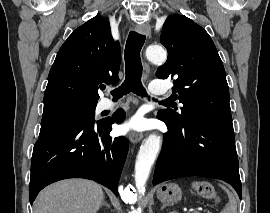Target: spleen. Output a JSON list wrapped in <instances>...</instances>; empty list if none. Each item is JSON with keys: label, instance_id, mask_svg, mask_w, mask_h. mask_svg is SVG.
Here are the masks:
<instances>
[{"label": "spleen", "instance_id": "spleen-1", "mask_svg": "<svg viewBox=\"0 0 270 213\" xmlns=\"http://www.w3.org/2000/svg\"><path fill=\"white\" fill-rule=\"evenodd\" d=\"M222 189L226 191L228 194L229 202L228 204L223 208V210L220 213H237V202L233 194L226 189L224 186H221Z\"/></svg>", "mask_w": 270, "mask_h": 213}]
</instances>
